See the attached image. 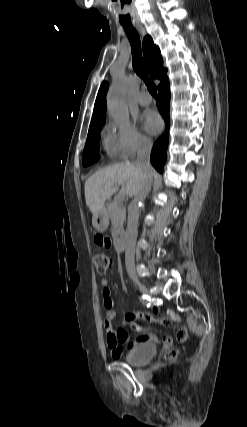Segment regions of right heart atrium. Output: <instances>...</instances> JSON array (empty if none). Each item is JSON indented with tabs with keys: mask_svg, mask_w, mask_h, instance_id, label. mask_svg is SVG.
Instances as JSON below:
<instances>
[{
	"mask_svg": "<svg viewBox=\"0 0 247 427\" xmlns=\"http://www.w3.org/2000/svg\"><path fill=\"white\" fill-rule=\"evenodd\" d=\"M105 142L109 153L119 159L133 158L152 146L151 140L136 126L115 122L106 126Z\"/></svg>",
	"mask_w": 247,
	"mask_h": 427,
	"instance_id": "1",
	"label": "right heart atrium"
}]
</instances>
